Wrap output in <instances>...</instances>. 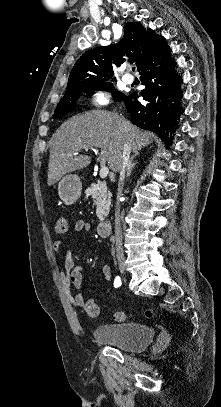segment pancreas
<instances>
[{"mask_svg":"<svg viewBox=\"0 0 221 407\" xmlns=\"http://www.w3.org/2000/svg\"><path fill=\"white\" fill-rule=\"evenodd\" d=\"M85 194L93 198L96 205V215L99 220L105 219L111 207V193L104 182L92 183Z\"/></svg>","mask_w":221,"mask_h":407,"instance_id":"cf45deb5","label":"pancreas"}]
</instances>
